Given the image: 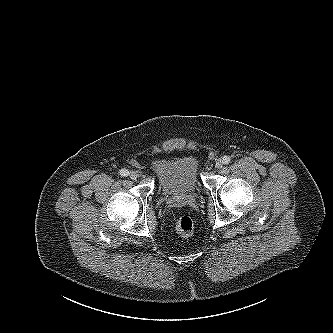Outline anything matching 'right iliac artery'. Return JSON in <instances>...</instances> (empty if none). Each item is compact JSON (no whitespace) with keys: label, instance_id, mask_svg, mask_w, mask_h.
Segmentation results:
<instances>
[{"label":"right iliac artery","instance_id":"obj_1","mask_svg":"<svg viewBox=\"0 0 333 333\" xmlns=\"http://www.w3.org/2000/svg\"><path fill=\"white\" fill-rule=\"evenodd\" d=\"M119 173H120V175L121 176H128V174H129V171L127 170V169H121L120 171H119Z\"/></svg>","mask_w":333,"mask_h":333}]
</instances>
